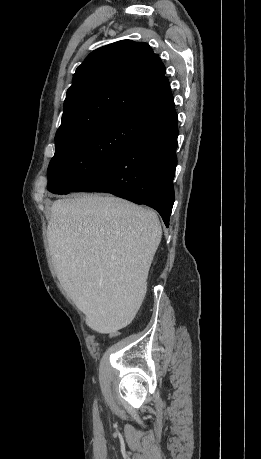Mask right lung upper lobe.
Returning <instances> with one entry per match:
<instances>
[{
	"label": "right lung upper lobe",
	"mask_w": 261,
	"mask_h": 459,
	"mask_svg": "<svg viewBox=\"0 0 261 459\" xmlns=\"http://www.w3.org/2000/svg\"><path fill=\"white\" fill-rule=\"evenodd\" d=\"M165 66L143 42L122 40L92 52L77 68L55 139L115 121L151 125L175 111Z\"/></svg>",
	"instance_id": "obj_1"
}]
</instances>
